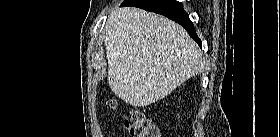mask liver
<instances>
[{"label": "liver", "instance_id": "obj_1", "mask_svg": "<svg viewBox=\"0 0 280 137\" xmlns=\"http://www.w3.org/2000/svg\"><path fill=\"white\" fill-rule=\"evenodd\" d=\"M105 31L108 84L134 107L167 97L203 70L197 44L166 17L123 7L112 13Z\"/></svg>", "mask_w": 280, "mask_h": 137}]
</instances>
